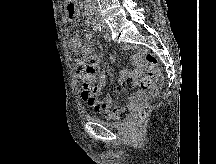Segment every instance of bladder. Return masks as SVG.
<instances>
[{
  "label": "bladder",
  "instance_id": "obj_1",
  "mask_svg": "<svg viewBox=\"0 0 216 164\" xmlns=\"http://www.w3.org/2000/svg\"><path fill=\"white\" fill-rule=\"evenodd\" d=\"M92 119L104 126L119 127L125 124V120L109 121L99 117H93Z\"/></svg>",
  "mask_w": 216,
  "mask_h": 164
}]
</instances>
